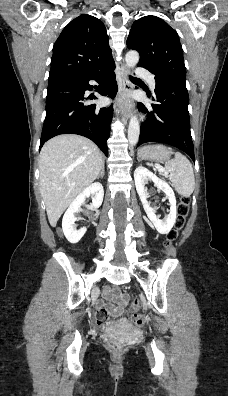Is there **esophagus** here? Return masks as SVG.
Returning a JSON list of instances; mask_svg holds the SVG:
<instances>
[{
	"instance_id": "obj_1",
	"label": "esophagus",
	"mask_w": 228,
	"mask_h": 396,
	"mask_svg": "<svg viewBox=\"0 0 228 396\" xmlns=\"http://www.w3.org/2000/svg\"><path fill=\"white\" fill-rule=\"evenodd\" d=\"M121 83H120V98L118 100V107L121 109V115L128 120L132 112V101L129 98L132 86L128 78L129 69L126 66L121 68Z\"/></svg>"
}]
</instances>
